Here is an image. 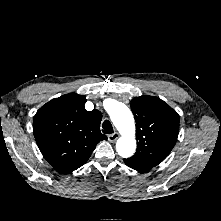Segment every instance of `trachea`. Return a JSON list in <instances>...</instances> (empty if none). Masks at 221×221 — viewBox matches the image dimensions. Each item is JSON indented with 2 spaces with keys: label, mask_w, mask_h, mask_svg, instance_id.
<instances>
[{
  "label": "trachea",
  "mask_w": 221,
  "mask_h": 221,
  "mask_svg": "<svg viewBox=\"0 0 221 221\" xmlns=\"http://www.w3.org/2000/svg\"><path fill=\"white\" fill-rule=\"evenodd\" d=\"M102 132L105 134H111L114 132L112 124L109 120H105L102 124Z\"/></svg>",
  "instance_id": "3493384b"
}]
</instances>
